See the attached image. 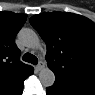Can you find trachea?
<instances>
[{
  "mask_svg": "<svg viewBox=\"0 0 95 95\" xmlns=\"http://www.w3.org/2000/svg\"><path fill=\"white\" fill-rule=\"evenodd\" d=\"M23 60L25 62H29V63H32V64H37L38 63V59L36 56L30 54V53H25L23 55Z\"/></svg>",
  "mask_w": 95,
  "mask_h": 95,
  "instance_id": "3493384b",
  "label": "trachea"
}]
</instances>
